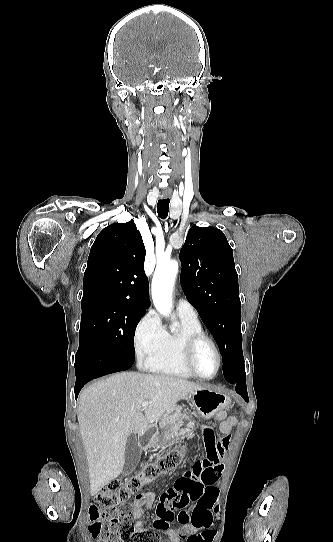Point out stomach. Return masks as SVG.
Returning a JSON list of instances; mask_svg holds the SVG:
<instances>
[{
    "label": "stomach",
    "instance_id": "stomach-1",
    "mask_svg": "<svg viewBox=\"0 0 333 542\" xmlns=\"http://www.w3.org/2000/svg\"><path fill=\"white\" fill-rule=\"evenodd\" d=\"M194 412H192V418L185 416L182 422L175 425V428L168 430L165 428L162 434L155 430V432H147L146 438L142 442L143 448H154V446H166L171 440L190 441L194 439L197 433L194 428L197 420H210L215 414H218L220 410H224L228 406V398L226 394L222 392H215V390H209V388H203V390H194L192 394L188 396ZM194 430V431H193Z\"/></svg>",
    "mask_w": 333,
    "mask_h": 542
}]
</instances>
